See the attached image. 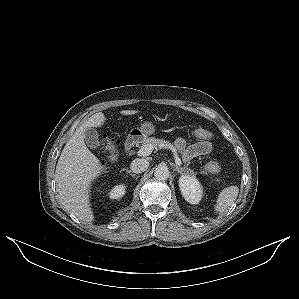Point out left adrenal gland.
<instances>
[{
    "label": "left adrenal gland",
    "mask_w": 299,
    "mask_h": 299,
    "mask_svg": "<svg viewBox=\"0 0 299 299\" xmlns=\"http://www.w3.org/2000/svg\"><path fill=\"white\" fill-rule=\"evenodd\" d=\"M175 172H178V173H180V174H182L183 173V168H180V167H178V166H174V169H173Z\"/></svg>",
    "instance_id": "left-adrenal-gland-1"
}]
</instances>
